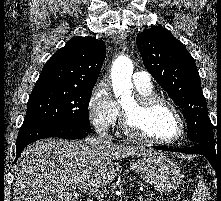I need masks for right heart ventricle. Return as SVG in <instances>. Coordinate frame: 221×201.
<instances>
[{"mask_svg":"<svg viewBox=\"0 0 221 201\" xmlns=\"http://www.w3.org/2000/svg\"><path fill=\"white\" fill-rule=\"evenodd\" d=\"M140 95L154 94L153 88H137Z\"/></svg>","mask_w":221,"mask_h":201,"instance_id":"e07e8e85","label":"right heart ventricle"}]
</instances>
